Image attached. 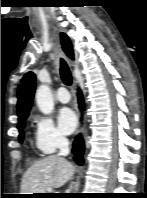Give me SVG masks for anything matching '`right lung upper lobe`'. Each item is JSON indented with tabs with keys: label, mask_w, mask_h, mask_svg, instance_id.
<instances>
[{
	"label": "right lung upper lobe",
	"mask_w": 147,
	"mask_h": 198,
	"mask_svg": "<svg viewBox=\"0 0 147 198\" xmlns=\"http://www.w3.org/2000/svg\"><path fill=\"white\" fill-rule=\"evenodd\" d=\"M61 44L65 53L73 59V50L71 42L68 36L61 33ZM35 92V75L32 72H28L21 80V85L18 88V121L28 117L30 108Z\"/></svg>",
	"instance_id": "right-lung-upper-lobe-1"
}]
</instances>
